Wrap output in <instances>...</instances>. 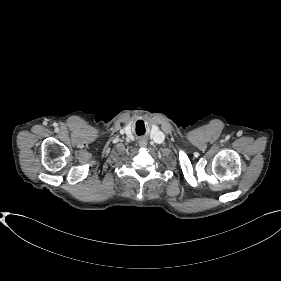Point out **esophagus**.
<instances>
[{
  "label": "esophagus",
  "mask_w": 281,
  "mask_h": 281,
  "mask_svg": "<svg viewBox=\"0 0 281 281\" xmlns=\"http://www.w3.org/2000/svg\"><path fill=\"white\" fill-rule=\"evenodd\" d=\"M140 146H143V144H142V143H140Z\"/></svg>",
  "instance_id": "esophagus-1"
}]
</instances>
